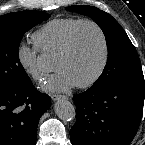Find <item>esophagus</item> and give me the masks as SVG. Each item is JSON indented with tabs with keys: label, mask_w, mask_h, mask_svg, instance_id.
Here are the masks:
<instances>
[{
	"label": "esophagus",
	"mask_w": 145,
	"mask_h": 145,
	"mask_svg": "<svg viewBox=\"0 0 145 145\" xmlns=\"http://www.w3.org/2000/svg\"><path fill=\"white\" fill-rule=\"evenodd\" d=\"M61 98L67 99V97L64 96V95H59V94H53V95H51V99H52L53 101H57V100H59V99H61Z\"/></svg>",
	"instance_id": "1"
}]
</instances>
